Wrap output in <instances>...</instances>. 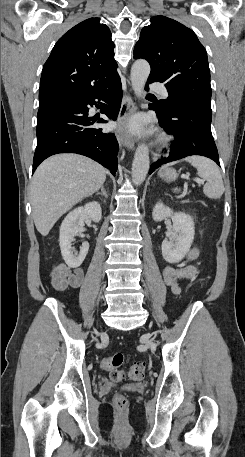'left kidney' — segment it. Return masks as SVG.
Here are the masks:
<instances>
[{"instance_id":"1","label":"left kidney","mask_w":245,"mask_h":457,"mask_svg":"<svg viewBox=\"0 0 245 457\" xmlns=\"http://www.w3.org/2000/svg\"><path fill=\"white\" fill-rule=\"evenodd\" d=\"M154 220L172 218V231L169 239H165L161 245L163 259L167 263H180L190 251L194 241V220L186 212H173L169 206H165L161 200L155 204L152 212Z\"/></svg>"}]
</instances>
